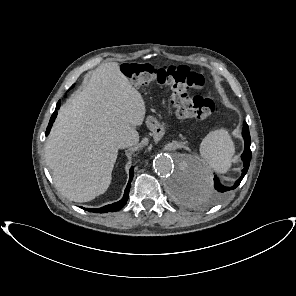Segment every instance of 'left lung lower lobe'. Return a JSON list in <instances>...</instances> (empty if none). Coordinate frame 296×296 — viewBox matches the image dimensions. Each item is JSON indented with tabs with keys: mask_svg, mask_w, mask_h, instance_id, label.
Instances as JSON below:
<instances>
[{
	"mask_svg": "<svg viewBox=\"0 0 296 296\" xmlns=\"http://www.w3.org/2000/svg\"><path fill=\"white\" fill-rule=\"evenodd\" d=\"M242 135L245 141V149L243 154L241 155V158L243 160V170H242V174L241 177L235 182V184L231 187H225L223 186L219 179L215 176L214 177V188L219 192V194H223L226 193L230 190L235 189L241 182V180L244 178L245 174L247 173V170L249 168V164H250V160H251V150H250V144H251V139H250V134H249V128L246 122H244V128L242 131ZM182 187H179L178 190H180Z\"/></svg>",
	"mask_w": 296,
	"mask_h": 296,
	"instance_id": "0a47b994",
	"label": "left lung lower lobe"
}]
</instances>
